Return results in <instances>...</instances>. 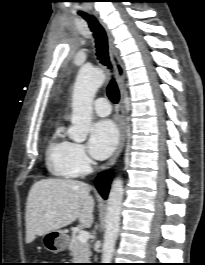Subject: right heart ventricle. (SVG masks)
Masks as SVG:
<instances>
[{
    "mask_svg": "<svg viewBox=\"0 0 205 265\" xmlns=\"http://www.w3.org/2000/svg\"><path fill=\"white\" fill-rule=\"evenodd\" d=\"M71 144L72 142L64 137L61 127L52 132L45 151L46 166L52 175L60 178L77 176L69 164Z\"/></svg>",
    "mask_w": 205,
    "mask_h": 265,
    "instance_id": "1",
    "label": "right heart ventricle"
}]
</instances>
